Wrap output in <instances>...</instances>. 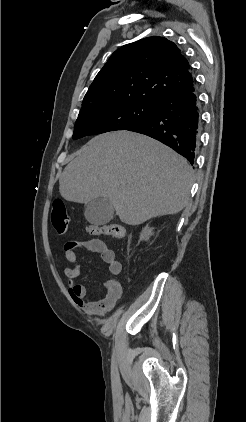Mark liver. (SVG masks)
<instances>
[{
  "mask_svg": "<svg viewBox=\"0 0 246 422\" xmlns=\"http://www.w3.org/2000/svg\"><path fill=\"white\" fill-rule=\"evenodd\" d=\"M193 170L175 151L145 135L114 131L92 138L65 167L61 196L88 203L110 200L120 220L139 225L187 205Z\"/></svg>",
  "mask_w": 246,
  "mask_h": 422,
  "instance_id": "obj_1",
  "label": "liver"
}]
</instances>
